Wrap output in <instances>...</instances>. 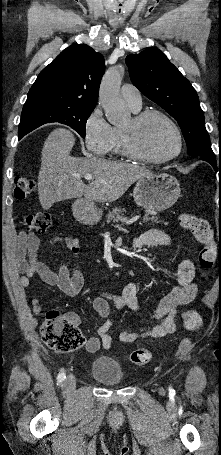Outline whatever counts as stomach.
I'll return each mask as SVG.
<instances>
[{"mask_svg": "<svg viewBox=\"0 0 221 455\" xmlns=\"http://www.w3.org/2000/svg\"><path fill=\"white\" fill-rule=\"evenodd\" d=\"M179 181L167 173L152 174L137 180L133 197L137 205L149 211H163L175 204L180 197ZM74 214L86 224L97 223L103 211L92 202L78 200L73 205Z\"/></svg>", "mask_w": 221, "mask_h": 455, "instance_id": "stomach-1", "label": "stomach"}]
</instances>
